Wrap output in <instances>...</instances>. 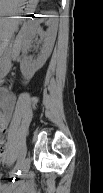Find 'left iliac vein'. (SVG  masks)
<instances>
[{
  "label": "left iliac vein",
  "mask_w": 103,
  "mask_h": 193,
  "mask_svg": "<svg viewBox=\"0 0 103 193\" xmlns=\"http://www.w3.org/2000/svg\"><path fill=\"white\" fill-rule=\"evenodd\" d=\"M30 163H31V160H30L29 157H27V158L24 160L23 164H22V171H23V173H26V172L29 170V168H30Z\"/></svg>",
  "instance_id": "4c4485c4"
}]
</instances>
